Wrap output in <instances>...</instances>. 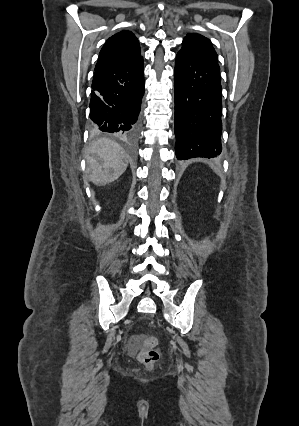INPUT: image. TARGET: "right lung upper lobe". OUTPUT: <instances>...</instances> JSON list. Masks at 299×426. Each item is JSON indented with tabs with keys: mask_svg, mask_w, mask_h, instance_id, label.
Masks as SVG:
<instances>
[{
	"mask_svg": "<svg viewBox=\"0 0 299 426\" xmlns=\"http://www.w3.org/2000/svg\"><path fill=\"white\" fill-rule=\"evenodd\" d=\"M137 38L129 31L111 36L102 47L95 70L108 65L134 61L140 58Z\"/></svg>",
	"mask_w": 299,
	"mask_h": 426,
	"instance_id": "1",
	"label": "right lung upper lobe"
}]
</instances>
